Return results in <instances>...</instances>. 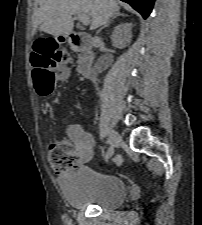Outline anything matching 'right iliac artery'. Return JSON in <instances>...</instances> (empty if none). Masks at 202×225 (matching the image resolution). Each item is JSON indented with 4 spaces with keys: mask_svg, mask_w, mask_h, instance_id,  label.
<instances>
[{
    "mask_svg": "<svg viewBox=\"0 0 202 225\" xmlns=\"http://www.w3.org/2000/svg\"><path fill=\"white\" fill-rule=\"evenodd\" d=\"M109 149H110V148H109ZM109 149H108L107 154H106V156H105V161H107V160L113 155V152L110 153Z\"/></svg>",
    "mask_w": 202,
    "mask_h": 225,
    "instance_id": "82829eb1",
    "label": "right iliac artery"
}]
</instances>
